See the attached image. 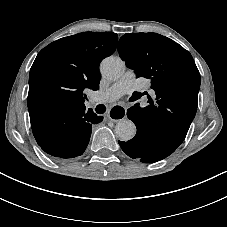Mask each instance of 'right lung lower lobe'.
Masks as SVG:
<instances>
[{
	"instance_id": "right-lung-lower-lobe-1",
	"label": "right lung lower lobe",
	"mask_w": 227,
	"mask_h": 227,
	"mask_svg": "<svg viewBox=\"0 0 227 227\" xmlns=\"http://www.w3.org/2000/svg\"><path fill=\"white\" fill-rule=\"evenodd\" d=\"M29 114L38 145L57 158L82 155L88 145L92 125L103 119L92 109L62 108L45 98L39 99Z\"/></svg>"
}]
</instances>
